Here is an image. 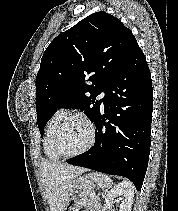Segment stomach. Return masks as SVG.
I'll list each match as a JSON object with an SVG mask.
<instances>
[{
    "instance_id": "1",
    "label": "stomach",
    "mask_w": 178,
    "mask_h": 211,
    "mask_svg": "<svg viewBox=\"0 0 178 211\" xmlns=\"http://www.w3.org/2000/svg\"><path fill=\"white\" fill-rule=\"evenodd\" d=\"M94 188V181L89 176L76 178L69 190L68 201L64 211H80L86 205Z\"/></svg>"
}]
</instances>
